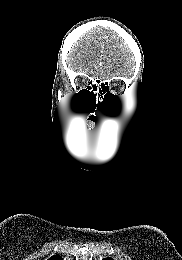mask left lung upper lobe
Listing matches in <instances>:
<instances>
[{
    "instance_id": "5c2ea615",
    "label": "left lung upper lobe",
    "mask_w": 182,
    "mask_h": 260,
    "mask_svg": "<svg viewBox=\"0 0 182 260\" xmlns=\"http://www.w3.org/2000/svg\"><path fill=\"white\" fill-rule=\"evenodd\" d=\"M103 260H112L111 258H105V259H103Z\"/></svg>"
}]
</instances>
